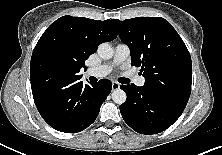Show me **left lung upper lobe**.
Instances as JSON below:
<instances>
[{
	"mask_svg": "<svg viewBox=\"0 0 222 155\" xmlns=\"http://www.w3.org/2000/svg\"><path fill=\"white\" fill-rule=\"evenodd\" d=\"M131 63L141 67L144 87L188 102L191 93L190 53L173 26L161 17L113 19Z\"/></svg>",
	"mask_w": 222,
	"mask_h": 155,
	"instance_id": "left-lung-upper-lobe-1",
	"label": "left lung upper lobe"
}]
</instances>
